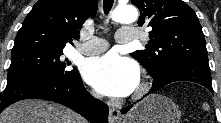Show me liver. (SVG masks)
<instances>
[{"mask_svg": "<svg viewBox=\"0 0 221 123\" xmlns=\"http://www.w3.org/2000/svg\"><path fill=\"white\" fill-rule=\"evenodd\" d=\"M0 123H85V120L60 104L28 99L5 109Z\"/></svg>", "mask_w": 221, "mask_h": 123, "instance_id": "6515ba94", "label": "liver"}]
</instances>
